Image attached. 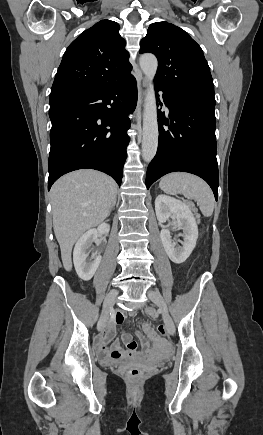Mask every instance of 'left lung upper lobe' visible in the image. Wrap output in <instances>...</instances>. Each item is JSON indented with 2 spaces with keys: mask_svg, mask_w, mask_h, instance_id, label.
<instances>
[{
  "mask_svg": "<svg viewBox=\"0 0 263 435\" xmlns=\"http://www.w3.org/2000/svg\"><path fill=\"white\" fill-rule=\"evenodd\" d=\"M140 53L158 59L155 85L179 97L215 106L214 85L200 46L181 28L167 22L149 26Z\"/></svg>",
  "mask_w": 263,
  "mask_h": 435,
  "instance_id": "left-lung-upper-lobe-1",
  "label": "left lung upper lobe"
}]
</instances>
